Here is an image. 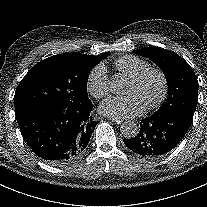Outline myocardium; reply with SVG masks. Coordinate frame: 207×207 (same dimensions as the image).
Wrapping results in <instances>:
<instances>
[{"instance_id":"myocardium-1","label":"myocardium","mask_w":207,"mask_h":207,"mask_svg":"<svg viewBox=\"0 0 207 207\" xmlns=\"http://www.w3.org/2000/svg\"><path fill=\"white\" fill-rule=\"evenodd\" d=\"M150 75H156L161 80V93L159 97L147 107H145V112H150L158 109L166 100L169 91V80L166 73L160 68L149 67L146 70L139 73L137 76L130 79V83L135 86L141 85Z\"/></svg>"}]
</instances>
